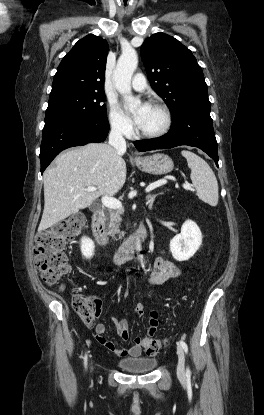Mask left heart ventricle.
<instances>
[{"instance_id":"b2bd125f","label":"left heart ventricle","mask_w":264,"mask_h":415,"mask_svg":"<svg viewBox=\"0 0 264 415\" xmlns=\"http://www.w3.org/2000/svg\"><path fill=\"white\" fill-rule=\"evenodd\" d=\"M164 117L160 109L150 106L138 126L141 132H155L163 125Z\"/></svg>"}]
</instances>
